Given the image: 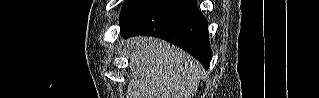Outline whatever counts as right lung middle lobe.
<instances>
[{
	"label": "right lung middle lobe",
	"mask_w": 319,
	"mask_h": 98,
	"mask_svg": "<svg viewBox=\"0 0 319 98\" xmlns=\"http://www.w3.org/2000/svg\"><path fill=\"white\" fill-rule=\"evenodd\" d=\"M150 0H126L120 14V22L142 8Z\"/></svg>",
	"instance_id": "1"
}]
</instances>
